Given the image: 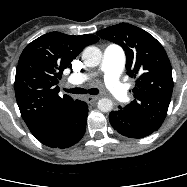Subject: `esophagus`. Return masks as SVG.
Wrapping results in <instances>:
<instances>
[{"label": "esophagus", "instance_id": "esophagus-1", "mask_svg": "<svg viewBox=\"0 0 187 187\" xmlns=\"http://www.w3.org/2000/svg\"><path fill=\"white\" fill-rule=\"evenodd\" d=\"M100 97L99 96H87L86 97V102L91 104L95 101H97Z\"/></svg>", "mask_w": 187, "mask_h": 187}]
</instances>
